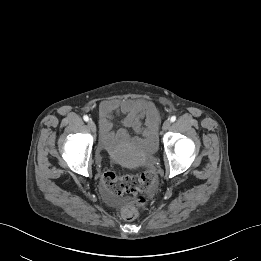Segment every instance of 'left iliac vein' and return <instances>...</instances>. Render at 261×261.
I'll return each instance as SVG.
<instances>
[{
    "instance_id": "obj_1",
    "label": "left iliac vein",
    "mask_w": 261,
    "mask_h": 261,
    "mask_svg": "<svg viewBox=\"0 0 261 261\" xmlns=\"http://www.w3.org/2000/svg\"><path fill=\"white\" fill-rule=\"evenodd\" d=\"M171 126V121L170 120H166L164 123H163V130H168Z\"/></svg>"
}]
</instances>
